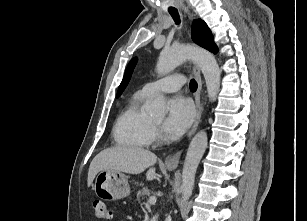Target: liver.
Masks as SVG:
<instances>
[{
    "label": "liver",
    "instance_id": "liver-1",
    "mask_svg": "<svg viewBox=\"0 0 307 221\" xmlns=\"http://www.w3.org/2000/svg\"><path fill=\"white\" fill-rule=\"evenodd\" d=\"M157 156L149 150L132 146H117L107 148L97 154L92 160L87 184L90 187L95 176L104 170H113L129 174H140L149 168L146 174L147 180L155 178Z\"/></svg>",
    "mask_w": 307,
    "mask_h": 221
}]
</instances>
